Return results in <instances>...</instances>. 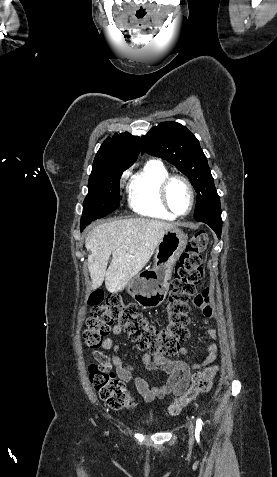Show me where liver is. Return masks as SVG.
I'll return each mask as SVG.
<instances>
[{
	"instance_id": "obj_1",
	"label": "liver",
	"mask_w": 277,
	"mask_h": 477,
	"mask_svg": "<svg viewBox=\"0 0 277 477\" xmlns=\"http://www.w3.org/2000/svg\"><path fill=\"white\" fill-rule=\"evenodd\" d=\"M176 224L149 218L103 223L89 231L85 247L92 289L105 280L110 291L123 290L148 263L163 235ZM112 261L107 269L110 256Z\"/></svg>"
}]
</instances>
